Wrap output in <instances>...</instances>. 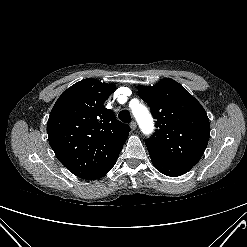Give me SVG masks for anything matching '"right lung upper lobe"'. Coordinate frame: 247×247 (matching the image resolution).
<instances>
[{"label": "right lung upper lobe", "instance_id": "obj_1", "mask_svg": "<svg viewBox=\"0 0 247 247\" xmlns=\"http://www.w3.org/2000/svg\"><path fill=\"white\" fill-rule=\"evenodd\" d=\"M114 89L112 84L84 79L65 90L50 113V146L79 178L90 179L113 164L128 138L129 126L104 106Z\"/></svg>", "mask_w": 247, "mask_h": 247}]
</instances>
